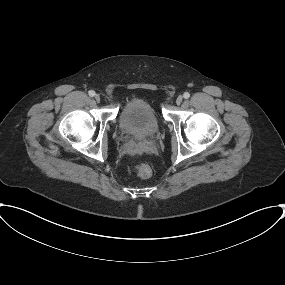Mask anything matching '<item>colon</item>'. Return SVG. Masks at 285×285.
<instances>
[{
	"label": "colon",
	"mask_w": 285,
	"mask_h": 285,
	"mask_svg": "<svg viewBox=\"0 0 285 285\" xmlns=\"http://www.w3.org/2000/svg\"><path fill=\"white\" fill-rule=\"evenodd\" d=\"M135 171L140 178H149L152 174L151 168L145 163H139L135 166Z\"/></svg>",
	"instance_id": "colon-1"
}]
</instances>
